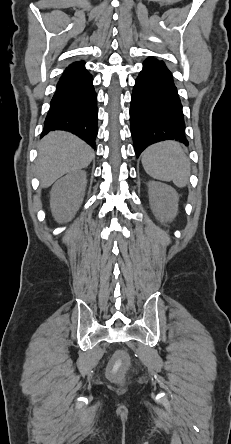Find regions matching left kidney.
Masks as SVG:
<instances>
[{"label": "left kidney", "instance_id": "left-kidney-1", "mask_svg": "<svg viewBox=\"0 0 231 444\" xmlns=\"http://www.w3.org/2000/svg\"><path fill=\"white\" fill-rule=\"evenodd\" d=\"M149 202L155 216L162 222L171 221L178 212V193L171 186L148 182Z\"/></svg>", "mask_w": 231, "mask_h": 444}]
</instances>
